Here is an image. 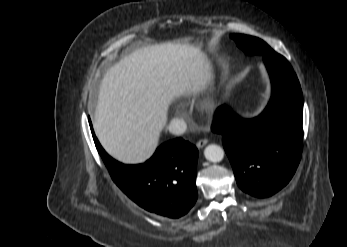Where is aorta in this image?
Listing matches in <instances>:
<instances>
[{
	"instance_id": "aorta-1",
	"label": "aorta",
	"mask_w": 347,
	"mask_h": 247,
	"mask_svg": "<svg viewBox=\"0 0 347 247\" xmlns=\"http://www.w3.org/2000/svg\"><path fill=\"white\" fill-rule=\"evenodd\" d=\"M205 158L213 163H217L223 160L224 150L216 144L208 145L204 150Z\"/></svg>"
}]
</instances>
